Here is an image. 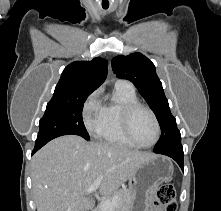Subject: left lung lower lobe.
<instances>
[{"mask_svg": "<svg viewBox=\"0 0 221 211\" xmlns=\"http://www.w3.org/2000/svg\"><path fill=\"white\" fill-rule=\"evenodd\" d=\"M153 152L173 158L179 164L181 169L184 171V164H183L184 153H183L182 145L167 147V148L158 149V150L154 149Z\"/></svg>", "mask_w": 221, "mask_h": 211, "instance_id": "1", "label": "left lung lower lobe"}]
</instances>
